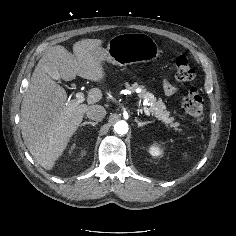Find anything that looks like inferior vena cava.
<instances>
[{
	"label": "inferior vena cava",
	"instance_id": "602c4592",
	"mask_svg": "<svg viewBox=\"0 0 236 236\" xmlns=\"http://www.w3.org/2000/svg\"><path fill=\"white\" fill-rule=\"evenodd\" d=\"M89 119L100 121L106 116V109L101 105H91L86 111Z\"/></svg>",
	"mask_w": 236,
	"mask_h": 236
}]
</instances>
